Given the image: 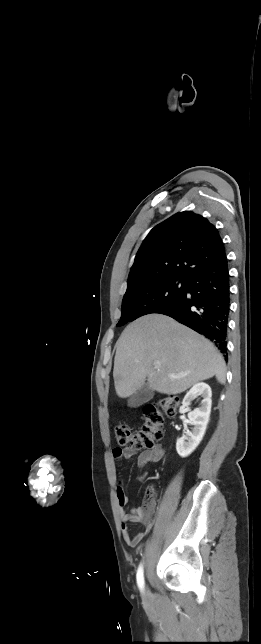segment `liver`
Listing matches in <instances>:
<instances>
[{
    "label": "liver",
    "instance_id": "1",
    "mask_svg": "<svg viewBox=\"0 0 261 644\" xmlns=\"http://www.w3.org/2000/svg\"><path fill=\"white\" fill-rule=\"evenodd\" d=\"M155 362L161 363L159 369ZM213 376L225 383L223 356L205 337L168 316L138 318L116 343L113 377L121 398L133 395L146 380L153 391L176 395Z\"/></svg>",
    "mask_w": 261,
    "mask_h": 644
}]
</instances>
